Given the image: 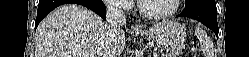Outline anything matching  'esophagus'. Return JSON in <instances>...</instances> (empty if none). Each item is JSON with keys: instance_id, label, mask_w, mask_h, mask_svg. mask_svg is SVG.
<instances>
[{"instance_id": "esophagus-1", "label": "esophagus", "mask_w": 249, "mask_h": 57, "mask_svg": "<svg viewBox=\"0 0 249 57\" xmlns=\"http://www.w3.org/2000/svg\"><path fill=\"white\" fill-rule=\"evenodd\" d=\"M131 30H132V31H136V30H138V27L135 26V25H133V26H131Z\"/></svg>"}]
</instances>
